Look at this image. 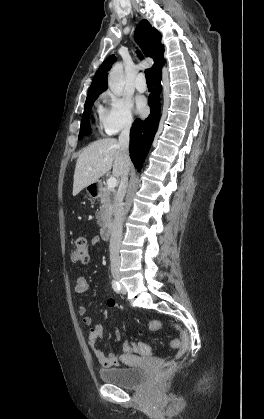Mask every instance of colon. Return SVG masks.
<instances>
[{"label": "colon", "mask_w": 264, "mask_h": 419, "mask_svg": "<svg viewBox=\"0 0 264 419\" xmlns=\"http://www.w3.org/2000/svg\"><path fill=\"white\" fill-rule=\"evenodd\" d=\"M89 244L86 238L79 237L76 239L75 244L71 250V258L76 263H87L89 261ZM150 329L157 331L159 329V323L157 321L150 322ZM190 340L189 335L186 331L181 330V340L173 339L171 346L176 349H180L178 358L183 356L189 349ZM131 347L137 348L140 352H146V348L141 345L132 344ZM176 367V360H170L162 364L159 370V377L167 376L171 374Z\"/></svg>", "instance_id": "obj_1"}]
</instances>
